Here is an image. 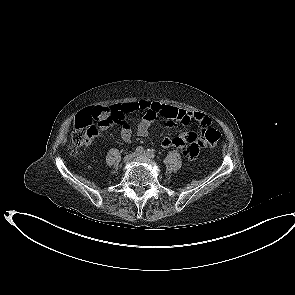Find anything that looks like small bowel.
Here are the masks:
<instances>
[{
  "instance_id": "1",
  "label": "small bowel",
  "mask_w": 295,
  "mask_h": 295,
  "mask_svg": "<svg viewBox=\"0 0 295 295\" xmlns=\"http://www.w3.org/2000/svg\"><path fill=\"white\" fill-rule=\"evenodd\" d=\"M108 115L100 118L98 126L101 131L108 129L114 122L122 123L121 137L125 142H130L132 130L130 125L125 121V118L134 112L142 111L143 117L138 124L137 135L146 137L149 133L151 124L160 118L166 123H180L187 125L192 120H196L202 124L211 123V119L204 113L198 111H190L167 104L160 103L154 100H139L124 104L114 105L107 108ZM202 140L199 139L195 132H183L178 136L165 137L160 144L163 148H177L186 154L189 158L197 155Z\"/></svg>"
}]
</instances>
